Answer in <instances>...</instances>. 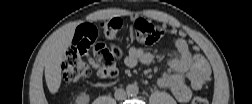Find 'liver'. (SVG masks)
Wrapping results in <instances>:
<instances>
[{"label": "liver", "instance_id": "obj_1", "mask_svg": "<svg viewBox=\"0 0 252 104\" xmlns=\"http://www.w3.org/2000/svg\"><path fill=\"white\" fill-rule=\"evenodd\" d=\"M75 26L62 29L50 43L45 59V80L49 91L55 94L61 85V63L71 44Z\"/></svg>", "mask_w": 252, "mask_h": 104}]
</instances>
